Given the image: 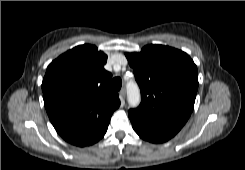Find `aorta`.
Masks as SVG:
<instances>
[{"label":"aorta","mask_w":245,"mask_h":170,"mask_svg":"<svg viewBox=\"0 0 245 170\" xmlns=\"http://www.w3.org/2000/svg\"><path fill=\"white\" fill-rule=\"evenodd\" d=\"M128 103L131 107H137L140 103V92L135 84L128 85L127 88Z\"/></svg>","instance_id":"obj_1"}]
</instances>
